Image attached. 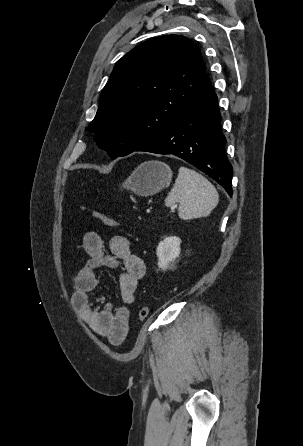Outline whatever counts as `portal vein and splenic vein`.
Returning <instances> with one entry per match:
<instances>
[{
	"instance_id": "1",
	"label": "portal vein and splenic vein",
	"mask_w": 303,
	"mask_h": 446,
	"mask_svg": "<svg viewBox=\"0 0 303 446\" xmlns=\"http://www.w3.org/2000/svg\"><path fill=\"white\" fill-rule=\"evenodd\" d=\"M176 208H177V205H174V206L171 207V210L173 211V210H175Z\"/></svg>"
}]
</instances>
